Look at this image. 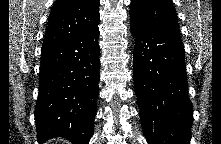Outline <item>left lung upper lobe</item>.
Wrapping results in <instances>:
<instances>
[{
    "label": "left lung upper lobe",
    "instance_id": "5c2ea615",
    "mask_svg": "<svg viewBox=\"0 0 221 144\" xmlns=\"http://www.w3.org/2000/svg\"><path fill=\"white\" fill-rule=\"evenodd\" d=\"M130 18L144 29L179 36L177 15L170 0H132Z\"/></svg>",
    "mask_w": 221,
    "mask_h": 144
}]
</instances>
